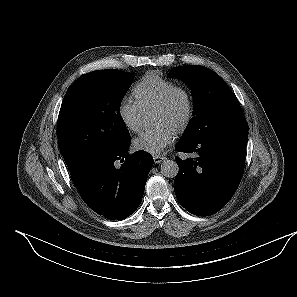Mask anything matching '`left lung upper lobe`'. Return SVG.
Masks as SVG:
<instances>
[{"label": "left lung upper lobe", "instance_id": "1", "mask_svg": "<svg viewBox=\"0 0 297 297\" xmlns=\"http://www.w3.org/2000/svg\"><path fill=\"white\" fill-rule=\"evenodd\" d=\"M169 76L187 82L194 100L193 118L180 141L190 142L213 130L245 120L235 94L209 68L199 65L174 67Z\"/></svg>", "mask_w": 297, "mask_h": 297}]
</instances>
